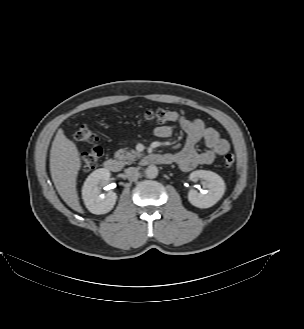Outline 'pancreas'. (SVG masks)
<instances>
[{
  "instance_id": "1",
  "label": "pancreas",
  "mask_w": 304,
  "mask_h": 329,
  "mask_svg": "<svg viewBox=\"0 0 304 329\" xmlns=\"http://www.w3.org/2000/svg\"><path fill=\"white\" fill-rule=\"evenodd\" d=\"M141 155V153L135 150L128 151L126 148L120 149L115 153V157L119 159L124 165L139 159Z\"/></svg>"
}]
</instances>
